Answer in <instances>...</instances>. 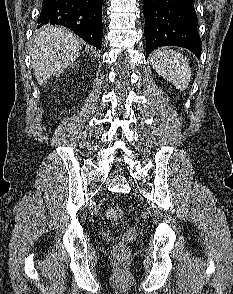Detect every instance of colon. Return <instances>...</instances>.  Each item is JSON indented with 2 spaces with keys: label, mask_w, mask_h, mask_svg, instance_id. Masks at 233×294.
Segmentation results:
<instances>
[{
  "label": "colon",
  "mask_w": 233,
  "mask_h": 294,
  "mask_svg": "<svg viewBox=\"0 0 233 294\" xmlns=\"http://www.w3.org/2000/svg\"><path fill=\"white\" fill-rule=\"evenodd\" d=\"M123 214V209L119 206H111L106 211V216L111 222L120 221L123 217ZM114 256L117 261L124 262L129 256V250L126 245L119 243L114 250Z\"/></svg>",
  "instance_id": "obj_1"
}]
</instances>
